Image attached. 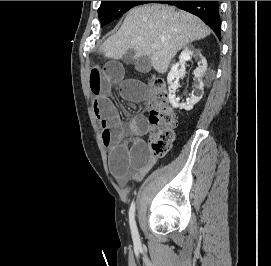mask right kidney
Here are the masks:
<instances>
[{
  "instance_id": "1",
  "label": "right kidney",
  "mask_w": 271,
  "mask_h": 266,
  "mask_svg": "<svg viewBox=\"0 0 271 266\" xmlns=\"http://www.w3.org/2000/svg\"><path fill=\"white\" fill-rule=\"evenodd\" d=\"M191 56H195L199 59L198 68L194 70L195 76V89L192 91L186 102L179 103V97L176 96V90L179 87V79L185 74L184 64ZM180 67V68H179ZM207 70V61L199 53H197L193 47H185L179 56V62L172 66L168 76L167 82L169 84V101L174 108L185 109L187 111L193 109V106L198 103L203 96L204 82L203 75Z\"/></svg>"
}]
</instances>
